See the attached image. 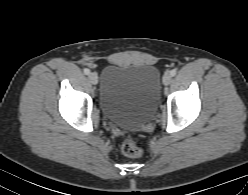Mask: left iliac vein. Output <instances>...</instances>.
<instances>
[{"label":"left iliac vein","mask_w":248,"mask_h":195,"mask_svg":"<svg viewBox=\"0 0 248 195\" xmlns=\"http://www.w3.org/2000/svg\"><path fill=\"white\" fill-rule=\"evenodd\" d=\"M171 75L169 73H166L164 76H163V83L165 85H169L171 83Z\"/></svg>","instance_id":"left-iliac-vein-1"}]
</instances>
